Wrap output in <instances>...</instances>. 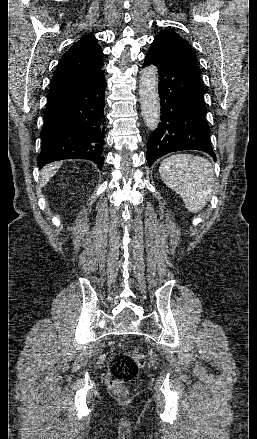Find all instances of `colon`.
I'll list each match as a JSON object with an SVG mask.
<instances>
[{
    "label": "colon",
    "mask_w": 257,
    "mask_h": 439,
    "mask_svg": "<svg viewBox=\"0 0 257 439\" xmlns=\"http://www.w3.org/2000/svg\"><path fill=\"white\" fill-rule=\"evenodd\" d=\"M145 354L138 346L116 353L110 362L107 383L118 394H124V384L133 380L145 365Z\"/></svg>",
    "instance_id": "1"
}]
</instances>
